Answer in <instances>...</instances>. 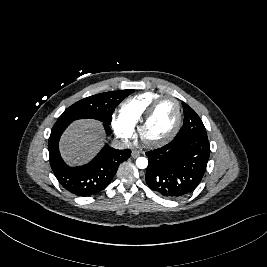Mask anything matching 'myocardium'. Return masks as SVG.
<instances>
[{"label": "myocardium", "mask_w": 267, "mask_h": 267, "mask_svg": "<svg viewBox=\"0 0 267 267\" xmlns=\"http://www.w3.org/2000/svg\"><path fill=\"white\" fill-rule=\"evenodd\" d=\"M170 99L172 101H174V103L176 104L177 107V120L176 123L173 127V129L171 130V132L169 134H167L165 137L157 139V140H147L144 138L143 136V131L144 128L146 126V124L148 123V121L150 120V118L152 117L153 113L155 112L157 106L164 100ZM181 123H182V106L180 101L172 96V95H161L160 97L156 98L155 100H153L150 105L147 107V109L145 110V112L143 113L142 117L140 118L138 124H137V134L138 137L140 138V140L148 145V146H161L164 145L166 143H168L169 141H171L178 133L180 127H181Z\"/></svg>", "instance_id": "myocardium-1"}]
</instances>
